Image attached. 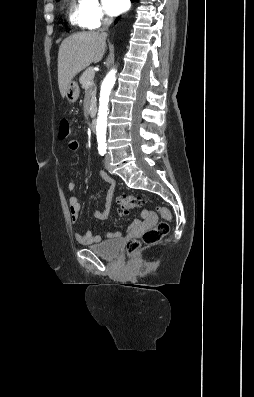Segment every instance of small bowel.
<instances>
[{
	"label": "small bowel",
	"mask_w": 254,
	"mask_h": 397,
	"mask_svg": "<svg viewBox=\"0 0 254 397\" xmlns=\"http://www.w3.org/2000/svg\"><path fill=\"white\" fill-rule=\"evenodd\" d=\"M68 147L72 152H76L79 149V142L77 140H71L68 143ZM99 176L109 184V188L106 193L105 197V206L103 210H95L94 211V217L98 220H105L109 214H110V209H111V203L115 191V181L107 175L105 172H99ZM76 182L71 180L68 183V190L69 191H74L76 189ZM68 205H69V211H70V218L72 224H76L79 219V212L81 210V203L78 200L76 196H71L68 200ZM144 216L146 219L151 218V214L148 212L144 213ZM136 226L139 225L137 222L135 224ZM106 238L108 239H115L120 237V232H109L106 235ZM75 239L77 242L83 245H90L94 243H98L102 240V237L99 235H94L92 231L87 230L85 233H76L75 234Z\"/></svg>",
	"instance_id": "small-bowel-1"
}]
</instances>
